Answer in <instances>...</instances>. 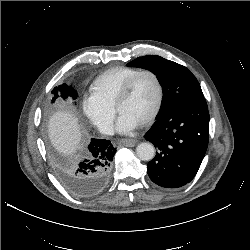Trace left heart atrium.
Here are the masks:
<instances>
[{
	"label": "left heart atrium",
	"mask_w": 250,
	"mask_h": 250,
	"mask_svg": "<svg viewBox=\"0 0 250 250\" xmlns=\"http://www.w3.org/2000/svg\"><path fill=\"white\" fill-rule=\"evenodd\" d=\"M136 127H137V124L134 121H132L131 119H129L128 117H126L124 115L119 116V118L117 120V124H116V129L120 133H130Z\"/></svg>",
	"instance_id": "39dd6f15"
}]
</instances>
